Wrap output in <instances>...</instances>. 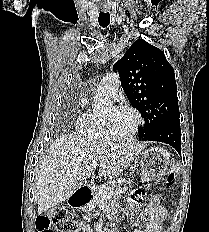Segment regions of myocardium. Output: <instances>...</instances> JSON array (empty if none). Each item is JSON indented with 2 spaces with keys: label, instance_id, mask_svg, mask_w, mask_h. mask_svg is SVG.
I'll return each mask as SVG.
<instances>
[{
  "label": "myocardium",
  "instance_id": "obj_1",
  "mask_svg": "<svg viewBox=\"0 0 209 232\" xmlns=\"http://www.w3.org/2000/svg\"><path fill=\"white\" fill-rule=\"evenodd\" d=\"M111 109L117 110V111L126 110V111L131 112L134 115L136 122H135L133 130L129 134L125 136H115L111 133L108 115L104 113L102 115V128H103V132H104L106 139L113 140V141H127V140L132 139L134 135L138 132V130L140 129L143 123V118H142L141 113L135 107L127 105V104L114 105L111 107Z\"/></svg>",
  "mask_w": 209,
  "mask_h": 232
}]
</instances>
